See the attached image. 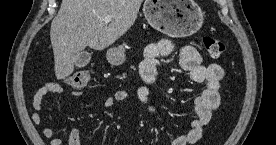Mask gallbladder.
<instances>
[{
    "label": "gallbladder",
    "mask_w": 276,
    "mask_h": 145,
    "mask_svg": "<svg viewBox=\"0 0 276 145\" xmlns=\"http://www.w3.org/2000/svg\"><path fill=\"white\" fill-rule=\"evenodd\" d=\"M91 56L88 51H81L75 65L79 68L85 67L90 62Z\"/></svg>",
    "instance_id": "bac80fb5"
}]
</instances>
